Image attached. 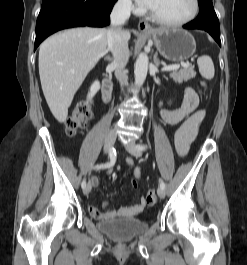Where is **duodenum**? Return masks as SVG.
I'll list each match as a JSON object with an SVG mask.
<instances>
[{
	"mask_svg": "<svg viewBox=\"0 0 247 265\" xmlns=\"http://www.w3.org/2000/svg\"><path fill=\"white\" fill-rule=\"evenodd\" d=\"M112 82L109 79H105L102 85V96L105 102H108L112 92Z\"/></svg>",
	"mask_w": 247,
	"mask_h": 265,
	"instance_id": "duodenum-1",
	"label": "duodenum"
}]
</instances>
